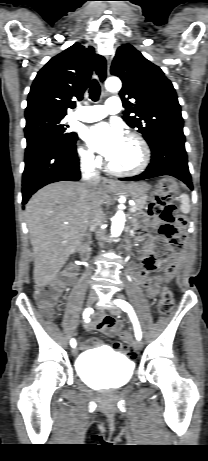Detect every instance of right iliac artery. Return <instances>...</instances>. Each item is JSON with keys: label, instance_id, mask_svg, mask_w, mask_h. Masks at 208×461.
<instances>
[{"label": "right iliac artery", "instance_id": "82829eb1", "mask_svg": "<svg viewBox=\"0 0 208 461\" xmlns=\"http://www.w3.org/2000/svg\"><path fill=\"white\" fill-rule=\"evenodd\" d=\"M91 311H92L91 308H87V309L84 311V313H83V318H84V319H88L89 314L91 313ZM70 345H71L72 347H75V346H76V341H75V339H71Z\"/></svg>", "mask_w": 208, "mask_h": 461}]
</instances>
